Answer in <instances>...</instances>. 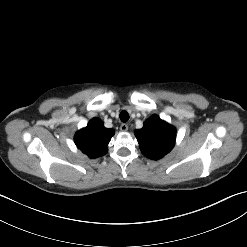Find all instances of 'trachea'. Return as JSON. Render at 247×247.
Instances as JSON below:
<instances>
[{
  "label": "trachea",
  "instance_id": "1",
  "mask_svg": "<svg viewBox=\"0 0 247 247\" xmlns=\"http://www.w3.org/2000/svg\"><path fill=\"white\" fill-rule=\"evenodd\" d=\"M119 117H120V120H121L122 122H124V123L127 122V121L129 120V114H128L127 111H122V112L120 113Z\"/></svg>",
  "mask_w": 247,
  "mask_h": 247
}]
</instances>
